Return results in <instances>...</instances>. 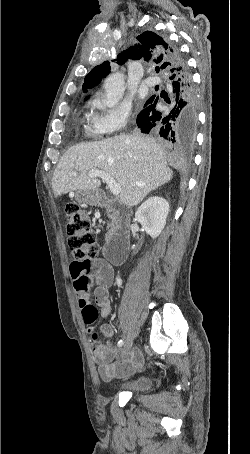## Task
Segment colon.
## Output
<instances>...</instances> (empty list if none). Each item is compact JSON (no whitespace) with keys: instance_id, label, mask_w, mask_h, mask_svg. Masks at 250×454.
Here are the masks:
<instances>
[{"instance_id":"5ec220e1","label":"colon","mask_w":250,"mask_h":454,"mask_svg":"<svg viewBox=\"0 0 250 454\" xmlns=\"http://www.w3.org/2000/svg\"><path fill=\"white\" fill-rule=\"evenodd\" d=\"M68 245L77 261L91 260L99 251L96 234L92 229L87 212L75 203L66 205ZM98 310L92 304L82 308V316L85 324L92 325L98 318ZM97 334L93 333L92 340H97Z\"/></svg>"}]
</instances>
